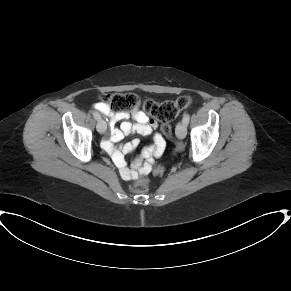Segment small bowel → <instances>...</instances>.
I'll return each instance as SVG.
<instances>
[{
  "label": "small bowel",
  "instance_id": "small-bowel-1",
  "mask_svg": "<svg viewBox=\"0 0 291 291\" xmlns=\"http://www.w3.org/2000/svg\"><path fill=\"white\" fill-rule=\"evenodd\" d=\"M95 108L106 115L110 121V138L103 142V148L111 155L122 179L130 181L150 173L154 159L162 155L165 150L163 136L158 132H154L158 128V122L150 118L143 108H135L131 112L126 110L115 111L105 103H97ZM130 117L135 121L134 124L128 122ZM117 122H121L119 127L115 126ZM133 133H139L143 136L153 134V144L144 149L141 156L129 168L124 155L131 153L138 146L139 141L135 139L118 148L115 144L125 136ZM182 153L183 149H179L176 156Z\"/></svg>",
  "mask_w": 291,
  "mask_h": 291
}]
</instances>
